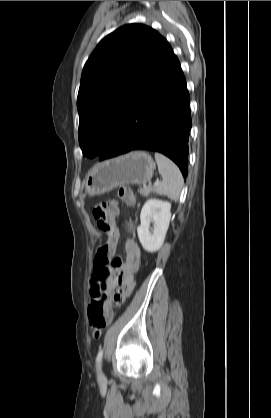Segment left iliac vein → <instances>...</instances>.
Listing matches in <instances>:
<instances>
[{"instance_id": "4c4485c4", "label": "left iliac vein", "mask_w": 271, "mask_h": 418, "mask_svg": "<svg viewBox=\"0 0 271 418\" xmlns=\"http://www.w3.org/2000/svg\"><path fill=\"white\" fill-rule=\"evenodd\" d=\"M98 377H99L100 380L104 379V374L102 372V363L101 362H99V364H98Z\"/></svg>"}]
</instances>
